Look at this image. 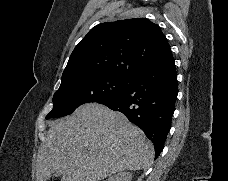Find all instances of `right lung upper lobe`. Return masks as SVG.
Segmentation results:
<instances>
[{"label": "right lung upper lobe", "instance_id": "1", "mask_svg": "<svg viewBox=\"0 0 228 181\" xmlns=\"http://www.w3.org/2000/svg\"><path fill=\"white\" fill-rule=\"evenodd\" d=\"M171 54L160 27L145 18L101 23L73 50L61 85L98 75L132 77Z\"/></svg>", "mask_w": 228, "mask_h": 181}]
</instances>
